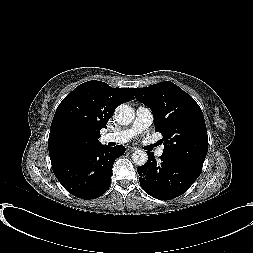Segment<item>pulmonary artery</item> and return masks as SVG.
<instances>
[{"label":"pulmonary artery","mask_w":253,"mask_h":253,"mask_svg":"<svg viewBox=\"0 0 253 253\" xmlns=\"http://www.w3.org/2000/svg\"><path fill=\"white\" fill-rule=\"evenodd\" d=\"M153 122V114L151 110L144 106H139L136 109L135 119L129 128L122 129L116 132L104 134L101 137L103 143L114 142L118 144L126 143L137 134L146 130ZM157 157L163 154V147H160L155 152Z\"/></svg>","instance_id":"1"}]
</instances>
